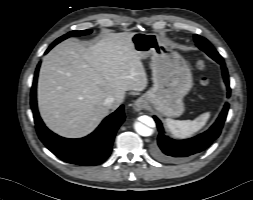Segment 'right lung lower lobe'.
Masks as SVG:
<instances>
[{"instance_id": "1", "label": "right lung lower lobe", "mask_w": 253, "mask_h": 200, "mask_svg": "<svg viewBox=\"0 0 253 200\" xmlns=\"http://www.w3.org/2000/svg\"><path fill=\"white\" fill-rule=\"evenodd\" d=\"M53 42L46 53L55 46ZM40 64L37 66L32 90L31 108L38 136L44 145L61 160L83 166L102 163L110 155L116 131L125 119L123 105L107 116L90 135L80 139H67L51 132L39 116L36 100V85Z\"/></svg>"}]
</instances>
